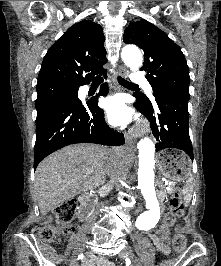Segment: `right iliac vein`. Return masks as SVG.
I'll list each match as a JSON object with an SVG mask.
<instances>
[{
  "instance_id": "63e3f726",
  "label": "right iliac vein",
  "mask_w": 221,
  "mask_h": 266,
  "mask_svg": "<svg viewBox=\"0 0 221 266\" xmlns=\"http://www.w3.org/2000/svg\"><path fill=\"white\" fill-rule=\"evenodd\" d=\"M83 250H84V245L79 246V247L75 250L74 255H73V259H72V263H71L70 266H75V260H76V257H77L80 253H82Z\"/></svg>"
}]
</instances>
